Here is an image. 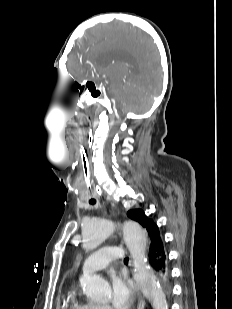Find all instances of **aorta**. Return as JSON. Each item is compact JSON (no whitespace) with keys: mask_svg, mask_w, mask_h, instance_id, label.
<instances>
[{"mask_svg":"<svg viewBox=\"0 0 232 309\" xmlns=\"http://www.w3.org/2000/svg\"><path fill=\"white\" fill-rule=\"evenodd\" d=\"M117 225L108 219H90L83 224V248L93 250L105 241ZM124 241L133 259L134 278L143 295L149 300L153 309H168L164 292L149 269L146 260L147 237L145 231L137 224L126 221L121 224ZM84 294L91 300L107 301L111 296L109 284L98 276L80 278Z\"/></svg>","mask_w":232,"mask_h":309,"instance_id":"aorta-1","label":"aorta"}]
</instances>
